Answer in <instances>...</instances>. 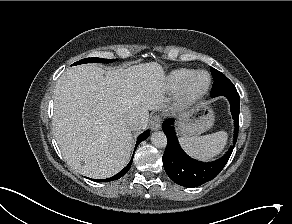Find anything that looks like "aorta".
<instances>
[{
    "label": "aorta",
    "instance_id": "aorta-1",
    "mask_svg": "<svg viewBox=\"0 0 292 224\" xmlns=\"http://www.w3.org/2000/svg\"><path fill=\"white\" fill-rule=\"evenodd\" d=\"M151 142L157 148H165L167 145V137L163 132L157 131L151 135Z\"/></svg>",
    "mask_w": 292,
    "mask_h": 224
}]
</instances>
